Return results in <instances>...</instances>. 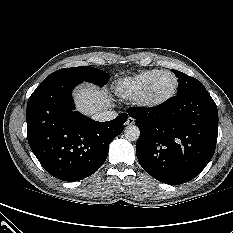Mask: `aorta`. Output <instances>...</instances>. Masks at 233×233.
<instances>
[{
    "label": "aorta",
    "instance_id": "762f6f07",
    "mask_svg": "<svg viewBox=\"0 0 233 233\" xmlns=\"http://www.w3.org/2000/svg\"><path fill=\"white\" fill-rule=\"evenodd\" d=\"M124 136L129 141H136L140 136L139 128L136 125H129L124 130Z\"/></svg>",
    "mask_w": 233,
    "mask_h": 233
}]
</instances>
